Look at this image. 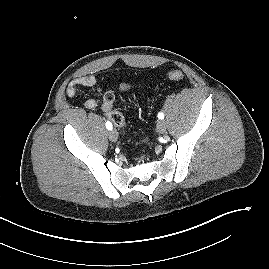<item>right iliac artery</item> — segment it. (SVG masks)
<instances>
[{"label": "right iliac artery", "instance_id": "1", "mask_svg": "<svg viewBox=\"0 0 269 269\" xmlns=\"http://www.w3.org/2000/svg\"><path fill=\"white\" fill-rule=\"evenodd\" d=\"M106 128L108 130H112V124H111V122H109V121L106 122Z\"/></svg>", "mask_w": 269, "mask_h": 269}]
</instances>
